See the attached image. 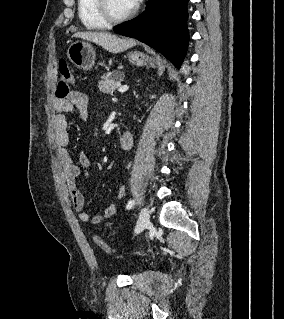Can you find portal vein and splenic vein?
<instances>
[{"label": "portal vein and splenic vein", "mask_w": 284, "mask_h": 319, "mask_svg": "<svg viewBox=\"0 0 284 319\" xmlns=\"http://www.w3.org/2000/svg\"><path fill=\"white\" fill-rule=\"evenodd\" d=\"M129 89V87L127 85L124 86H119L118 91L123 93L126 92Z\"/></svg>", "instance_id": "portal-vein-and-splenic-vein-1"}]
</instances>
